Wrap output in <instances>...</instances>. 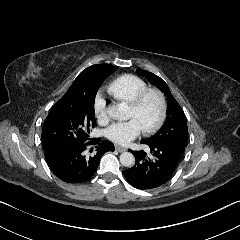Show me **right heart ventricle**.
Wrapping results in <instances>:
<instances>
[{"label":"right heart ventricle","mask_w":240,"mask_h":240,"mask_svg":"<svg viewBox=\"0 0 240 240\" xmlns=\"http://www.w3.org/2000/svg\"><path fill=\"white\" fill-rule=\"evenodd\" d=\"M147 88L144 80L135 75H122L107 87L108 94L120 104L129 105L135 96Z\"/></svg>","instance_id":"obj_1"}]
</instances>
